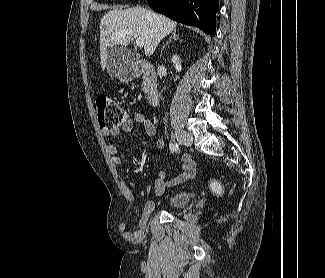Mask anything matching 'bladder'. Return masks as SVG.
Segmentation results:
<instances>
[{
  "instance_id": "obj_1",
  "label": "bladder",
  "mask_w": 325,
  "mask_h": 278,
  "mask_svg": "<svg viewBox=\"0 0 325 278\" xmlns=\"http://www.w3.org/2000/svg\"><path fill=\"white\" fill-rule=\"evenodd\" d=\"M191 199L190 192L186 190L175 191L167 200L166 206L171 209L184 207Z\"/></svg>"
}]
</instances>
